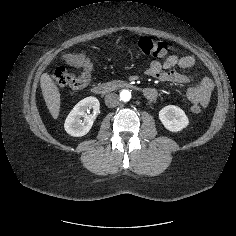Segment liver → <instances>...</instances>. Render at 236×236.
<instances>
[{
    "mask_svg": "<svg viewBox=\"0 0 236 236\" xmlns=\"http://www.w3.org/2000/svg\"><path fill=\"white\" fill-rule=\"evenodd\" d=\"M42 94L47 108L54 119H57L60 111V92L51 76L46 72L40 78Z\"/></svg>",
    "mask_w": 236,
    "mask_h": 236,
    "instance_id": "1",
    "label": "liver"
}]
</instances>
